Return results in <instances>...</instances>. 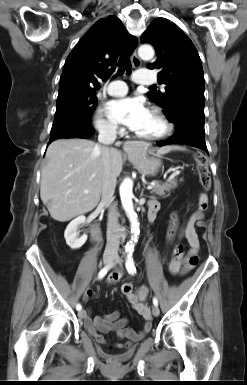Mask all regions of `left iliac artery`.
I'll use <instances>...</instances> for the list:
<instances>
[{"label": "left iliac artery", "instance_id": "obj_1", "mask_svg": "<svg viewBox=\"0 0 247 385\" xmlns=\"http://www.w3.org/2000/svg\"><path fill=\"white\" fill-rule=\"evenodd\" d=\"M125 266L129 274L134 275L136 273V268L132 257V251L128 252ZM153 304L155 306H158V300L156 297L153 298Z\"/></svg>", "mask_w": 247, "mask_h": 385}]
</instances>
